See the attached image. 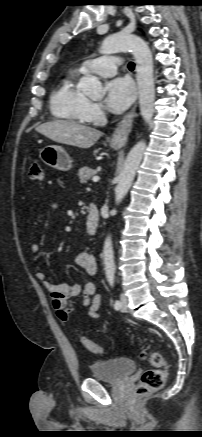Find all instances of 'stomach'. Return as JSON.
I'll return each instance as SVG.
<instances>
[{
    "mask_svg": "<svg viewBox=\"0 0 202 437\" xmlns=\"http://www.w3.org/2000/svg\"><path fill=\"white\" fill-rule=\"evenodd\" d=\"M111 147L114 149H118L120 145L116 143H111ZM39 156L46 165L60 171H68L72 167V160L69 154L61 146H45L40 151Z\"/></svg>",
    "mask_w": 202,
    "mask_h": 437,
    "instance_id": "1",
    "label": "stomach"
}]
</instances>
